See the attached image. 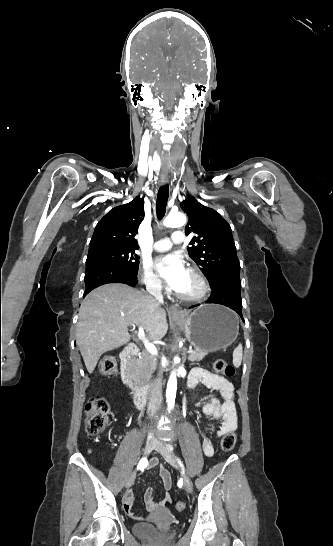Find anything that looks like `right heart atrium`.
<instances>
[{"label": "right heart atrium", "instance_id": "obj_1", "mask_svg": "<svg viewBox=\"0 0 333 546\" xmlns=\"http://www.w3.org/2000/svg\"><path fill=\"white\" fill-rule=\"evenodd\" d=\"M140 279L144 286L150 291H161L163 289L160 279L148 264L142 267Z\"/></svg>", "mask_w": 333, "mask_h": 546}]
</instances>
